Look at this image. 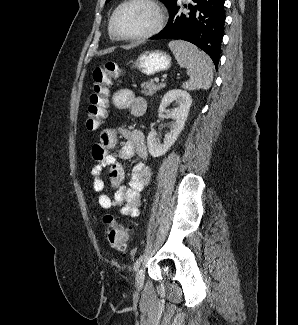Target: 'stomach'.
<instances>
[{
  "instance_id": "1",
  "label": "stomach",
  "mask_w": 298,
  "mask_h": 325,
  "mask_svg": "<svg viewBox=\"0 0 298 325\" xmlns=\"http://www.w3.org/2000/svg\"><path fill=\"white\" fill-rule=\"evenodd\" d=\"M132 70H140L142 74L146 76H152V74H157V72H163V70H169L172 66V58L168 52L165 50H141L137 54L134 60L128 62Z\"/></svg>"
}]
</instances>
